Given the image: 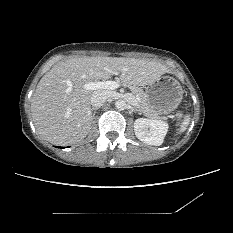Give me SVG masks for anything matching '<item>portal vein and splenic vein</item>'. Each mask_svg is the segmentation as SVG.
Masks as SVG:
<instances>
[{"instance_id": "18ae733b", "label": "portal vein and splenic vein", "mask_w": 233, "mask_h": 233, "mask_svg": "<svg viewBox=\"0 0 233 233\" xmlns=\"http://www.w3.org/2000/svg\"><path fill=\"white\" fill-rule=\"evenodd\" d=\"M85 89L87 90H98V89H117L119 87V83L115 81H94L85 84ZM139 101V97H136L135 104Z\"/></svg>"}]
</instances>
